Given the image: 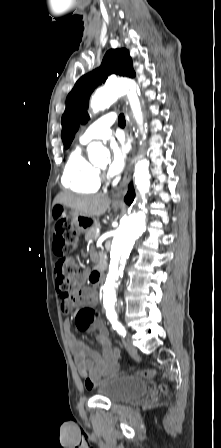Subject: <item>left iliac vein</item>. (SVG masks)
<instances>
[{"label": "left iliac vein", "instance_id": "4c4485c4", "mask_svg": "<svg viewBox=\"0 0 221 448\" xmlns=\"http://www.w3.org/2000/svg\"><path fill=\"white\" fill-rule=\"evenodd\" d=\"M123 343H124V346L126 347V349H127L130 353H135V352H136V348H135V346L133 345L132 338L130 337V335H128V336L124 339Z\"/></svg>", "mask_w": 221, "mask_h": 448}]
</instances>
